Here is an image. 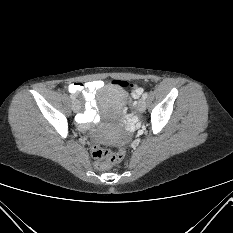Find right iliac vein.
<instances>
[{
    "label": "right iliac vein",
    "mask_w": 233,
    "mask_h": 233,
    "mask_svg": "<svg viewBox=\"0 0 233 233\" xmlns=\"http://www.w3.org/2000/svg\"><path fill=\"white\" fill-rule=\"evenodd\" d=\"M80 108H81L80 102L78 100H74L72 102V110L74 112H78L80 110Z\"/></svg>",
    "instance_id": "1"
}]
</instances>
